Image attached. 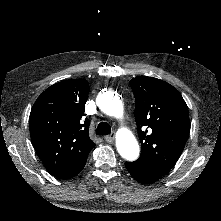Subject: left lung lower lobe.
Returning a JSON list of instances; mask_svg holds the SVG:
<instances>
[{"label":"left lung lower lobe","mask_w":221,"mask_h":221,"mask_svg":"<svg viewBox=\"0 0 221 221\" xmlns=\"http://www.w3.org/2000/svg\"><path fill=\"white\" fill-rule=\"evenodd\" d=\"M125 166L132 177L140 183L149 184L160 178V176L150 172L144 165L137 161L126 162Z\"/></svg>","instance_id":"1"}]
</instances>
